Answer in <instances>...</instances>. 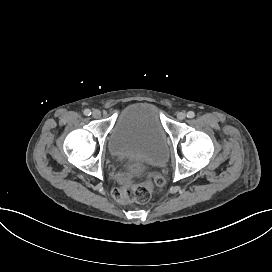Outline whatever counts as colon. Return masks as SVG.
<instances>
[{
	"instance_id": "5ec220e1",
	"label": "colon",
	"mask_w": 272,
	"mask_h": 272,
	"mask_svg": "<svg viewBox=\"0 0 272 272\" xmlns=\"http://www.w3.org/2000/svg\"><path fill=\"white\" fill-rule=\"evenodd\" d=\"M143 172L144 166L141 163L129 162L126 165L125 172L120 176L121 185L113 191L118 203L128 204L132 200L139 203L147 202L155 186L164 184V179L161 176H156L152 181L137 182V178H140Z\"/></svg>"
}]
</instances>
